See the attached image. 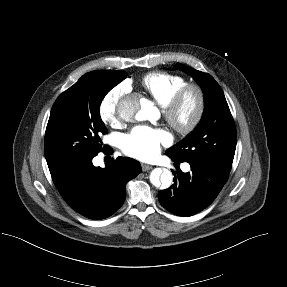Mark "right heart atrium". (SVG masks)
<instances>
[{"mask_svg": "<svg viewBox=\"0 0 287 287\" xmlns=\"http://www.w3.org/2000/svg\"><path fill=\"white\" fill-rule=\"evenodd\" d=\"M127 91L128 86L122 83L104 95L99 104V116L103 123L110 126L119 123V104Z\"/></svg>", "mask_w": 287, "mask_h": 287, "instance_id": "right-heart-atrium-1", "label": "right heart atrium"}]
</instances>
